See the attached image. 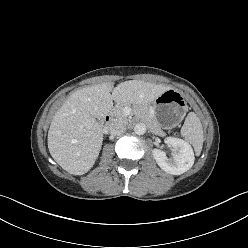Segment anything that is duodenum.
Segmentation results:
<instances>
[{
    "instance_id": "410a0bca",
    "label": "duodenum",
    "mask_w": 248,
    "mask_h": 248,
    "mask_svg": "<svg viewBox=\"0 0 248 248\" xmlns=\"http://www.w3.org/2000/svg\"><path fill=\"white\" fill-rule=\"evenodd\" d=\"M110 121H111V114L110 113L105 114L103 117V123L108 124Z\"/></svg>"
}]
</instances>
